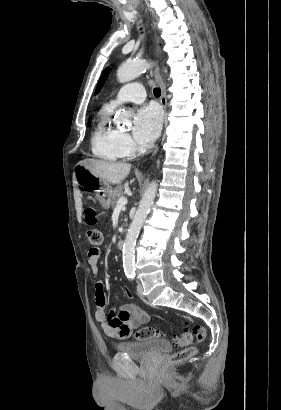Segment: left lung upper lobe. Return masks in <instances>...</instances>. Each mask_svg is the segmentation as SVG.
Segmentation results:
<instances>
[{
  "label": "left lung upper lobe",
  "instance_id": "left-lung-upper-lobe-1",
  "mask_svg": "<svg viewBox=\"0 0 281 410\" xmlns=\"http://www.w3.org/2000/svg\"><path fill=\"white\" fill-rule=\"evenodd\" d=\"M108 73H109V68H106L105 71H104V73H103V75H102V77L100 78V80H99V82H98V86H97V89H96V92H95L96 94L99 92L101 86H102L103 83L105 82L106 77L108 76Z\"/></svg>",
  "mask_w": 281,
  "mask_h": 410
}]
</instances>
